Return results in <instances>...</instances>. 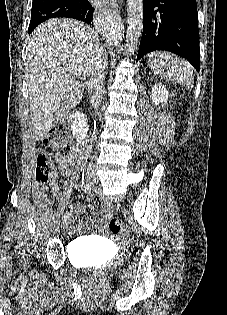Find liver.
<instances>
[{"label": "liver", "mask_w": 227, "mask_h": 315, "mask_svg": "<svg viewBox=\"0 0 227 315\" xmlns=\"http://www.w3.org/2000/svg\"><path fill=\"white\" fill-rule=\"evenodd\" d=\"M26 79L33 112L35 139L43 140L55 116H65L82 99L98 50V32L73 19H51L38 26L28 40ZM103 56V55H102ZM102 58V57H101ZM104 62V59H102ZM72 67L83 71L71 72Z\"/></svg>", "instance_id": "obj_1"}]
</instances>
